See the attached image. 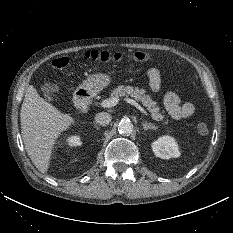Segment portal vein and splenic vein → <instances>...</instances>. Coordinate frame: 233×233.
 I'll return each instance as SVG.
<instances>
[{
    "label": "portal vein and splenic vein",
    "mask_w": 233,
    "mask_h": 233,
    "mask_svg": "<svg viewBox=\"0 0 233 233\" xmlns=\"http://www.w3.org/2000/svg\"><path fill=\"white\" fill-rule=\"evenodd\" d=\"M125 100L128 103H130L131 105L135 106L139 111H141L145 115H148V113L145 111V109L143 107H141V105H139L135 100L129 99V98H126ZM118 102H119V99L116 97H113V98H108L106 100H103L100 103V105L103 108H110V107L116 106L118 104Z\"/></svg>",
    "instance_id": "portal-vein-and-splenic-vein-1"
}]
</instances>
